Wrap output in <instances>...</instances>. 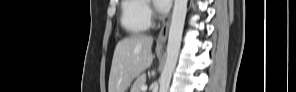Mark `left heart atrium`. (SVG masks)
<instances>
[{
  "mask_svg": "<svg viewBox=\"0 0 296 92\" xmlns=\"http://www.w3.org/2000/svg\"><path fill=\"white\" fill-rule=\"evenodd\" d=\"M170 3H171L170 0H165V1L156 0L155 1L156 8L159 12L166 11L169 8Z\"/></svg>",
  "mask_w": 296,
  "mask_h": 92,
  "instance_id": "1",
  "label": "left heart atrium"
}]
</instances>
